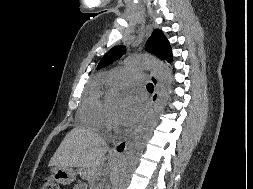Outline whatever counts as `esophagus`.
<instances>
[{
	"mask_svg": "<svg viewBox=\"0 0 253 189\" xmlns=\"http://www.w3.org/2000/svg\"><path fill=\"white\" fill-rule=\"evenodd\" d=\"M148 75L153 83L154 86V92L151 96V107H154L158 101L159 98V82L157 77L155 76V74L153 73V71L149 70L148 71ZM140 126L137 127L134 132H132L129 136H127L124 140L120 141L119 143H117L113 149H112V153L114 155H123L131 141V139L133 138V136L138 132Z\"/></svg>",
	"mask_w": 253,
	"mask_h": 189,
	"instance_id": "obj_1",
	"label": "esophagus"
}]
</instances>
